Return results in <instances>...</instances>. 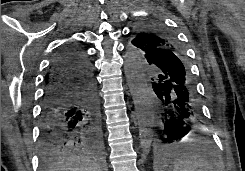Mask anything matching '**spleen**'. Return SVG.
Listing matches in <instances>:
<instances>
[{"label":"spleen","mask_w":245,"mask_h":171,"mask_svg":"<svg viewBox=\"0 0 245 171\" xmlns=\"http://www.w3.org/2000/svg\"><path fill=\"white\" fill-rule=\"evenodd\" d=\"M173 171H214L212 165L205 158L186 154L176 159L173 163Z\"/></svg>","instance_id":"3e777b00"}]
</instances>
